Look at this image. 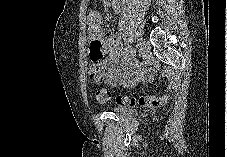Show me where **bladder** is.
I'll return each mask as SVG.
<instances>
[{"label":"bladder","mask_w":227,"mask_h":157,"mask_svg":"<svg viewBox=\"0 0 227 157\" xmlns=\"http://www.w3.org/2000/svg\"><path fill=\"white\" fill-rule=\"evenodd\" d=\"M113 111L122 117H132L137 114L135 109L129 107H117Z\"/></svg>","instance_id":"obj_1"}]
</instances>
